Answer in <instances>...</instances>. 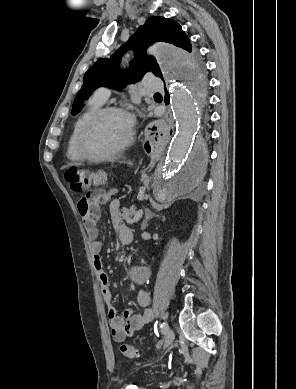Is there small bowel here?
Here are the masks:
<instances>
[{"label": "small bowel", "instance_id": "small-bowel-1", "mask_svg": "<svg viewBox=\"0 0 296 389\" xmlns=\"http://www.w3.org/2000/svg\"><path fill=\"white\" fill-rule=\"evenodd\" d=\"M116 190L95 189L82 197L78 202V212L82 218L90 240V248L93 253V263L100 282L101 293L108 305V321L112 339L115 342H123L128 336L139 331L146 323L152 320L151 310L147 309L143 314L136 313L133 308H129L122 315L117 313L113 303V296L109 286V277L102 266L101 251L103 242L99 239L97 221L101 214V206L110 201V217L113 227L120 240H132V232L124 226L119 217V200L115 199ZM137 303L141 307H148L150 304V294L145 289L137 292Z\"/></svg>", "mask_w": 296, "mask_h": 389}]
</instances>
